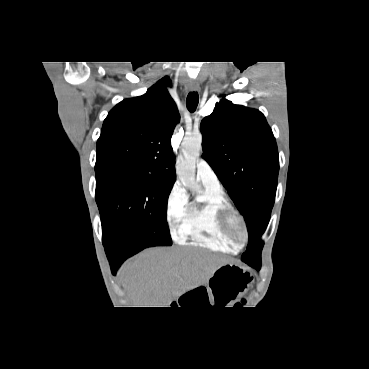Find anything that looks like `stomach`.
<instances>
[{
	"label": "stomach",
	"instance_id": "obj_1",
	"mask_svg": "<svg viewBox=\"0 0 369 369\" xmlns=\"http://www.w3.org/2000/svg\"><path fill=\"white\" fill-rule=\"evenodd\" d=\"M251 280V274L241 266L225 263L217 268L204 287L213 302L227 304L242 295Z\"/></svg>",
	"mask_w": 369,
	"mask_h": 369
}]
</instances>
